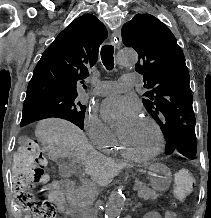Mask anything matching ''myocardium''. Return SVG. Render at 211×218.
<instances>
[{"label": "myocardium", "mask_w": 211, "mask_h": 218, "mask_svg": "<svg viewBox=\"0 0 211 218\" xmlns=\"http://www.w3.org/2000/svg\"><path fill=\"white\" fill-rule=\"evenodd\" d=\"M143 119L147 120L153 126L154 130L156 131V134L159 140V145L156 148V150H154L150 154L140 155L128 149L126 145L124 144L122 138L119 139L118 141V146H119L121 154L129 159H132L138 162H147V161L156 159L161 154V152L163 151V147H164V134H163V131L160 125L157 123L155 119H153L150 116H145L143 117Z\"/></svg>", "instance_id": "obj_1"}]
</instances>
